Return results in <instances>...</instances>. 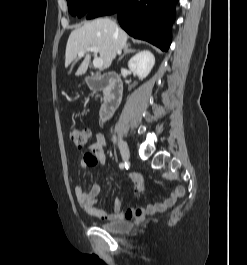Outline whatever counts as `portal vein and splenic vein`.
Returning <instances> with one entry per match:
<instances>
[{
	"label": "portal vein and splenic vein",
	"instance_id": "obj_1",
	"mask_svg": "<svg viewBox=\"0 0 247 265\" xmlns=\"http://www.w3.org/2000/svg\"><path fill=\"white\" fill-rule=\"evenodd\" d=\"M86 51L93 52L96 55L99 52V48L95 47V46L88 47L86 50L80 51L78 53V56H83ZM93 66L95 68H102L103 67V60L101 58L95 57L93 60Z\"/></svg>",
	"mask_w": 247,
	"mask_h": 265
}]
</instances>
